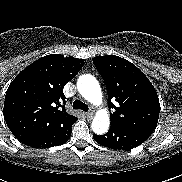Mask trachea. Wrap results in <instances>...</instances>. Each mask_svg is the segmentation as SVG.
<instances>
[{"label":"trachea","instance_id":"obj_1","mask_svg":"<svg viewBox=\"0 0 182 182\" xmlns=\"http://www.w3.org/2000/svg\"><path fill=\"white\" fill-rule=\"evenodd\" d=\"M73 109H81L83 111H88L89 110L88 105L83 103L80 100H75L73 102Z\"/></svg>","mask_w":182,"mask_h":182}]
</instances>
